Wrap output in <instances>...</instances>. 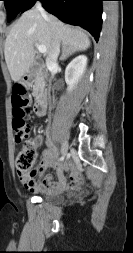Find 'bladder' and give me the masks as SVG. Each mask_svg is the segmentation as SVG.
<instances>
[{
    "instance_id": "31cf9c89",
    "label": "bladder",
    "mask_w": 133,
    "mask_h": 253,
    "mask_svg": "<svg viewBox=\"0 0 133 253\" xmlns=\"http://www.w3.org/2000/svg\"><path fill=\"white\" fill-rule=\"evenodd\" d=\"M42 198L48 202L55 203V204H60L63 202V196L58 195V194H43Z\"/></svg>"
}]
</instances>
